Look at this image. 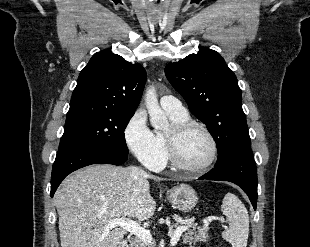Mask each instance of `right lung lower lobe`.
I'll use <instances>...</instances> for the list:
<instances>
[{
    "label": "right lung lower lobe",
    "instance_id": "1",
    "mask_svg": "<svg viewBox=\"0 0 310 247\" xmlns=\"http://www.w3.org/2000/svg\"><path fill=\"white\" fill-rule=\"evenodd\" d=\"M127 154L98 149L90 146H68L58 150L52 168L51 197L62 180L71 172L91 164L121 165Z\"/></svg>",
    "mask_w": 310,
    "mask_h": 247
}]
</instances>
